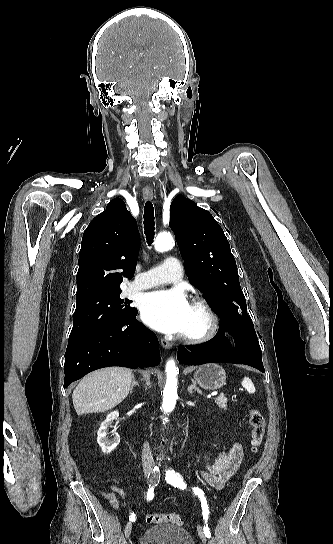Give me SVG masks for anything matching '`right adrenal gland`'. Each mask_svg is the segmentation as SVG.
Returning a JSON list of instances; mask_svg holds the SVG:
<instances>
[{"instance_id":"1","label":"right adrenal gland","mask_w":333,"mask_h":544,"mask_svg":"<svg viewBox=\"0 0 333 544\" xmlns=\"http://www.w3.org/2000/svg\"><path fill=\"white\" fill-rule=\"evenodd\" d=\"M132 381H133V382H132V385H131V387H130V392L133 391L134 386H140V385L138 384V382L135 380L134 375H133Z\"/></svg>"}]
</instances>
